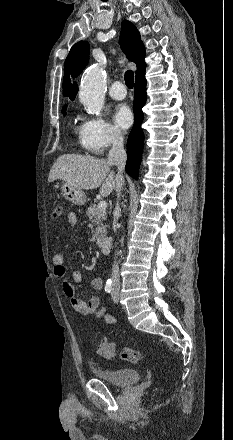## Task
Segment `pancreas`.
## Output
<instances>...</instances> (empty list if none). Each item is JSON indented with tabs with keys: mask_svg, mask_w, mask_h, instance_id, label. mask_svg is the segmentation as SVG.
Here are the masks:
<instances>
[{
	"mask_svg": "<svg viewBox=\"0 0 233 440\" xmlns=\"http://www.w3.org/2000/svg\"><path fill=\"white\" fill-rule=\"evenodd\" d=\"M86 214L89 220L97 225L95 237L97 242H100L106 233V225L103 223L106 219V212L105 210L98 209V206L92 205L87 209Z\"/></svg>",
	"mask_w": 233,
	"mask_h": 440,
	"instance_id": "pancreas-1",
	"label": "pancreas"
}]
</instances>
